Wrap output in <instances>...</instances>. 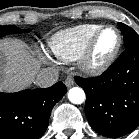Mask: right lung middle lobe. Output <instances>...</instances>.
Returning <instances> with one entry per match:
<instances>
[{
  "instance_id": "obj_1",
  "label": "right lung middle lobe",
  "mask_w": 139,
  "mask_h": 139,
  "mask_svg": "<svg viewBox=\"0 0 139 139\" xmlns=\"http://www.w3.org/2000/svg\"><path fill=\"white\" fill-rule=\"evenodd\" d=\"M26 31H30V30H21L12 25H4V26H0V37L5 36L10 33H22Z\"/></svg>"
}]
</instances>
